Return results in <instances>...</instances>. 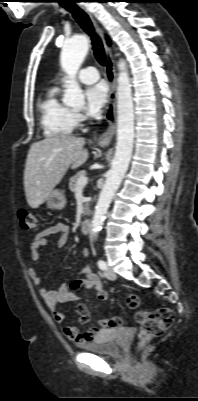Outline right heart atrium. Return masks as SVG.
Here are the masks:
<instances>
[{
  "label": "right heart atrium",
  "instance_id": "1",
  "mask_svg": "<svg viewBox=\"0 0 198 401\" xmlns=\"http://www.w3.org/2000/svg\"><path fill=\"white\" fill-rule=\"evenodd\" d=\"M76 118H77L78 121L82 120V116L80 114H76Z\"/></svg>",
  "mask_w": 198,
  "mask_h": 401
}]
</instances>
